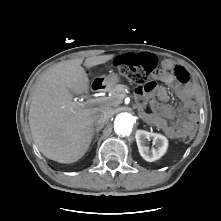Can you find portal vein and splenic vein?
Returning a JSON list of instances; mask_svg holds the SVG:
<instances>
[{"label":"portal vein and splenic vein","mask_w":221,"mask_h":221,"mask_svg":"<svg viewBox=\"0 0 221 221\" xmlns=\"http://www.w3.org/2000/svg\"><path fill=\"white\" fill-rule=\"evenodd\" d=\"M100 102H106V98L89 99L87 104H96Z\"/></svg>","instance_id":"1"}]
</instances>
